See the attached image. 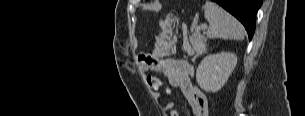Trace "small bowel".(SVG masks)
Segmentation results:
<instances>
[{
	"label": "small bowel",
	"mask_w": 305,
	"mask_h": 116,
	"mask_svg": "<svg viewBox=\"0 0 305 116\" xmlns=\"http://www.w3.org/2000/svg\"><path fill=\"white\" fill-rule=\"evenodd\" d=\"M171 45L164 39H159L150 54L138 56L141 67L146 71L163 74L170 86L165 87L163 81L157 77L148 76L147 82L153 91L165 88L166 92L179 89L185 102L187 116H208V102L205 93L194 83V67L185 60L168 58ZM168 116H179L174 109V103L165 105Z\"/></svg>",
	"instance_id": "1"
}]
</instances>
